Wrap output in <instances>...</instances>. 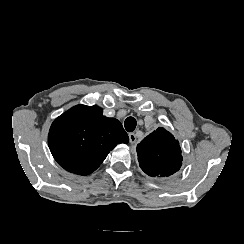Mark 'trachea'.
<instances>
[{
    "instance_id": "1",
    "label": "trachea",
    "mask_w": 244,
    "mask_h": 244,
    "mask_svg": "<svg viewBox=\"0 0 244 244\" xmlns=\"http://www.w3.org/2000/svg\"><path fill=\"white\" fill-rule=\"evenodd\" d=\"M136 125H137V122H136L135 118L132 116L127 117L126 120L124 121V127H125L126 131H128V132L134 131L136 128Z\"/></svg>"
}]
</instances>
